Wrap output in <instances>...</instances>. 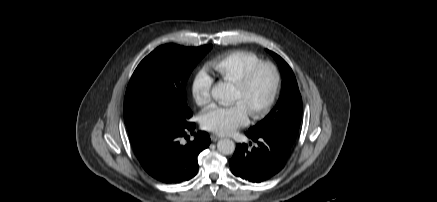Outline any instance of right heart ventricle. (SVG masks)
I'll return each instance as SVG.
<instances>
[{"label":"right heart ventricle","instance_id":"right-heart-ventricle-1","mask_svg":"<svg viewBox=\"0 0 437 202\" xmlns=\"http://www.w3.org/2000/svg\"><path fill=\"white\" fill-rule=\"evenodd\" d=\"M259 61L260 58L253 52L234 50L213 58L208 62V67L223 81L235 83L247 69Z\"/></svg>","mask_w":437,"mask_h":202}]
</instances>
